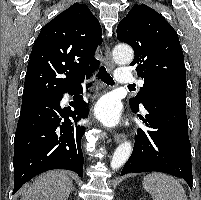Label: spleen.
I'll return each mask as SVG.
<instances>
[{
	"mask_svg": "<svg viewBox=\"0 0 201 200\" xmlns=\"http://www.w3.org/2000/svg\"><path fill=\"white\" fill-rule=\"evenodd\" d=\"M143 187L153 200H187L185 190L179 181L164 173L146 175Z\"/></svg>",
	"mask_w": 201,
	"mask_h": 200,
	"instance_id": "1",
	"label": "spleen"
}]
</instances>
